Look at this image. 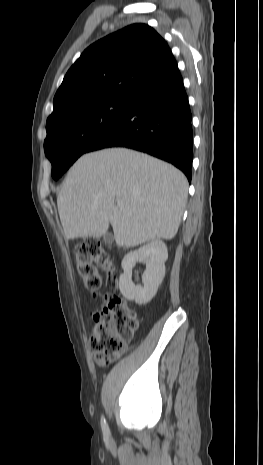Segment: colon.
I'll return each instance as SVG.
<instances>
[{
  "label": "colon",
  "mask_w": 263,
  "mask_h": 465,
  "mask_svg": "<svg viewBox=\"0 0 263 465\" xmlns=\"http://www.w3.org/2000/svg\"><path fill=\"white\" fill-rule=\"evenodd\" d=\"M77 271L85 287L92 294H97L103 284L100 270L105 273V284L116 285V268L97 238H88L75 247ZM91 331L90 347L99 366H106L114 361L131 342L138 328L134 312L126 302L116 295L104 299L103 308L95 315Z\"/></svg>",
  "instance_id": "colon-1"
}]
</instances>
